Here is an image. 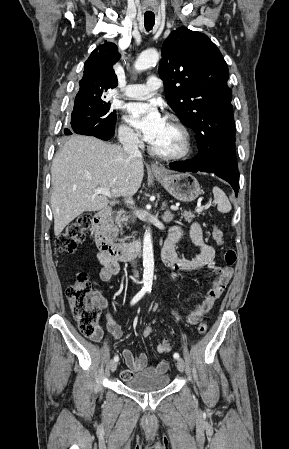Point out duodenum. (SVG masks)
<instances>
[{
    "label": "duodenum",
    "mask_w": 289,
    "mask_h": 449,
    "mask_svg": "<svg viewBox=\"0 0 289 449\" xmlns=\"http://www.w3.org/2000/svg\"><path fill=\"white\" fill-rule=\"evenodd\" d=\"M111 214L112 209L104 207L92 219L91 233L99 252L117 261H129L136 258L142 249L141 241L119 244L110 240L106 235L104 225Z\"/></svg>",
    "instance_id": "duodenum-1"
}]
</instances>
